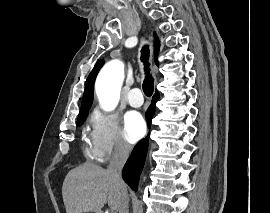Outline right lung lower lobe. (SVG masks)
<instances>
[{
	"label": "right lung lower lobe",
	"instance_id": "1",
	"mask_svg": "<svg viewBox=\"0 0 270 213\" xmlns=\"http://www.w3.org/2000/svg\"><path fill=\"white\" fill-rule=\"evenodd\" d=\"M159 99V93L156 90L152 103L146 112L147 122L150 126L151 119L155 113V104ZM149 137L141 140L134 148L132 154L127 160L123 169V179L124 181L135 191L138 189V181L141 171L144 166V162L147 155Z\"/></svg>",
	"mask_w": 270,
	"mask_h": 213
}]
</instances>
